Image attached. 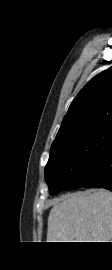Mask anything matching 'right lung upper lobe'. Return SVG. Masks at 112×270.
<instances>
[{
    "instance_id": "obj_1",
    "label": "right lung upper lobe",
    "mask_w": 112,
    "mask_h": 270,
    "mask_svg": "<svg viewBox=\"0 0 112 270\" xmlns=\"http://www.w3.org/2000/svg\"><path fill=\"white\" fill-rule=\"evenodd\" d=\"M112 121V67L94 77L71 103L51 147Z\"/></svg>"
}]
</instances>
